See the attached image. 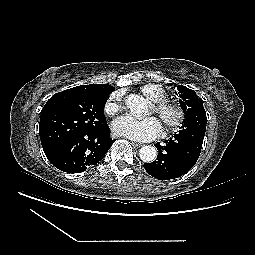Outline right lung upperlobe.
Wrapping results in <instances>:
<instances>
[{"instance_id":"cb5924a9","label":"right lung upper lobe","mask_w":255,"mask_h":255,"mask_svg":"<svg viewBox=\"0 0 255 255\" xmlns=\"http://www.w3.org/2000/svg\"><path fill=\"white\" fill-rule=\"evenodd\" d=\"M65 91L69 92H97V93H106L110 94L114 91V87L108 84H90V85H81Z\"/></svg>"}]
</instances>
